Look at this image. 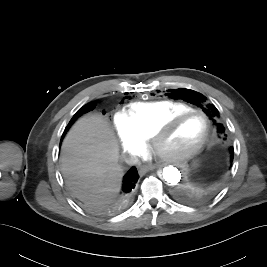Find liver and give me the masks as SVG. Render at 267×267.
<instances>
[{"label":"liver","mask_w":267,"mask_h":267,"mask_svg":"<svg viewBox=\"0 0 267 267\" xmlns=\"http://www.w3.org/2000/svg\"><path fill=\"white\" fill-rule=\"evenodd\" d=\"M119 146L101 115L80 118L65 137L61 171L67 187L83 202L104 205L121 187L123 168Z\"/></svg>","instance_id":"6515ba94"}]
</instances>
